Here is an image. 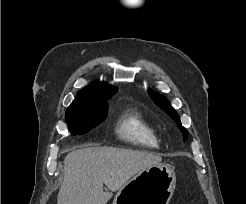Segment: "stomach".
Listing matches in <instances>:
<instances>
[{"label":"stomach","mask_w":246,"mask_h":204,"mask_svg":"<svg viewBox=\"0 0 246 204\" xmlns=\"http://www.w3.org/2000/svg\"><path fill=\"white\" fill-rule=\"evenodd\" d=\"M175 185L173 169L154 165L130 179L117 192L113 204H169Z\"/></svg>","instance_id":"1"}]
</instances>
